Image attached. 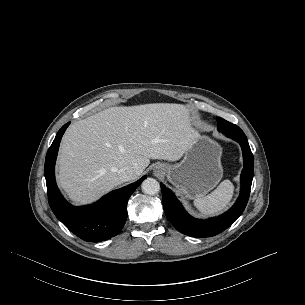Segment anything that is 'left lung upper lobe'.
Returning <instances> with one entry per match:
<instances>
[{
    "label": "left lung upper lobe",
    "instance_id": "1",
    "mask_svg": "<svg viewBox=\"0 0 305 305\" xmlns=\"http://www.w3.org/2000/svg\"><path fill=\"white\" fill-rule=\"evenodd\" d=\"M218 131L226 136L246 138L244 132L238 126L224 119H218Z\"/></svg>",
    "mask_w": 305,
    "mask_h": 305
}]
</instances>
